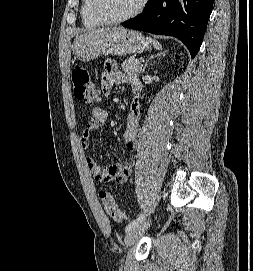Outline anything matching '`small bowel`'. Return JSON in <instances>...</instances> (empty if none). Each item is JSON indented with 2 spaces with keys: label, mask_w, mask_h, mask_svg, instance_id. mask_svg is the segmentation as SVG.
Listing matches in <instances>:
<instances>
[{
  "label": "small bowel",
  "mask_w": 253,
  "mask_h": 271,
  "mask_svg": "<svg viewBox=\"0 0 253 271\" xmlns=\"http://www.w3.org/2000/svg\"><path fill=\"white\" fill-rule=\"evenodd\" d=\"M116 84L128 86L132 94L131 112L127 116L126 129L123 133V141L132 151L136 148L137 130L140 124L139 96L141 83L136 77L120 72L114 62L108 61L103 69L102 92L108 95ZM107 118L108 113L104 109L97 107L92 110L87 127L79 134V142L84 148L89 147L92 133L100 130L106 123ZM86 165L90 176L98 182H125L132 172L134 160L129 158L124 164L116 163L109 166H100L92 158H87Z\"/></svg>",
  "instance_id": "obj_1"
}]
</instances>
